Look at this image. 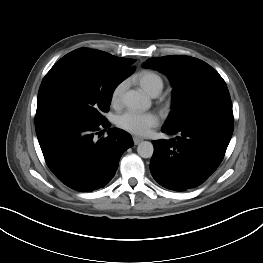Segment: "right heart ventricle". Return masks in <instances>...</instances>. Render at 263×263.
<instances>
[{
	"label": "right heart ventricle",
	"mask_w": 263,
	"mask_h": 263,
	"mask_svg": "<svg viewBox=\"0 0 263 263\" xmlns=\"http://www.w3.org/2000/svg\"><path fill=\"white\" fill-rule=\"evenodd\" d=\"M136 81L140 87L147 92L152 94L155 91H161L163 88L162 78L155 72L144 70L136 75Z\"/></svg>",
	"instance_id": "e07e8e85"
}]
</instances>
